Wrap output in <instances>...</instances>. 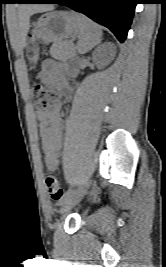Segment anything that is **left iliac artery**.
<instances>
[{"label":"left iliac artery","instance_id":"44dca946","mask_svg":"<svg viewBox=\"0 0 166 267\" xmlns=\"http://www.w3.org/2000/svg\"><path fill=\"white\" fill-rule=\"evenodd\" d=\"M71 193H72V189H71V188L68 189V190L64 193V195H63V197H62V199H61V204L64 203V202L66 201V199L68 198V196H69Z\"/></svg>","mask_w":166,"mask_h":267}]
</instances>
